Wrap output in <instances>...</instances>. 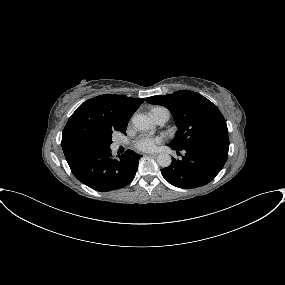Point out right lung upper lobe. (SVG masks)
<instances>
[{
  "label": "right lung upper lobe",
  "instance_id": "obj_1",
  "mask_svg": "<svg viewBox=\"0 0 285 285\" xmlns=\"http://www.w3.org/2000/svg\"><path fill=\"white\" fill-rule=\"evenodd\" d=\"M143 102L125 95H100L82 103L63 130L67 162L82 152L103 147L114 131L126 134L130 117Z\"/></svg>",
  "mask_w": 285,
  "mask_h": 285
}]
</instances>
